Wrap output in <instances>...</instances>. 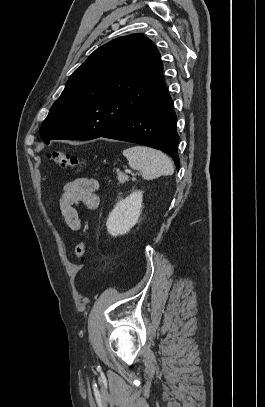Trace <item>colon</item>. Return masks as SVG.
<instances>
[{"label": "colon", "mask_w": 265, "mask_h": 407, "mask_svg": "<svg viewBox=\"0 0 265 407\" xmlns=\"http://www.w3.org/2000/svg\"><path fill=\"white\" fill-rule=\"evenodd\" d=\"M48 158L60 167L82 169L87 166V162L81 160L78 156L71 154L65 150H52L51 152H49ZM86 249V241H79L75 247V257L77 260H84Z\"/></svg>", "instance_id": "obj_1"}]
</instances>
